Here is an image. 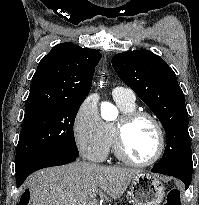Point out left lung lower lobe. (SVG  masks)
I'll list each match as a JSON object with an SVG mask.
<instances>
[{
	"label": "left lung lower lobe",
	"instance_id": "left-lung-lower-lobe-1",
	"mask_svg": "<svg viewBox=\"0 0 199 205\" xmlns=\"http://www.w3.org/2000/svg\"><path fill=\"white\" fill-rule=\"evenodd\" d=\"M151 172L176 177V178L180 179L185 184L186 189L189 187V185L191 183V179H192V177L185 176L182 173H179V172H176L173 170H157V169L152 168Z\"/></svg>",
	"mask_w": 199,
	"mask_h": 205
}]
</instances>
